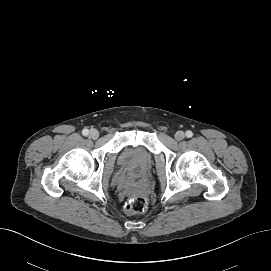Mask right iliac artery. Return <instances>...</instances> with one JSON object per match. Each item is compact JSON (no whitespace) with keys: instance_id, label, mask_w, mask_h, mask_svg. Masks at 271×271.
Wrapping results in <instances>:
<instances>
[{"instance_id":"82829eb1","label":"right iliac artery","mask_w":271,"mask_h":271,"mask_svg":"<svg viewBox=\"0 0 271 271\" xmlns=\"http://www.w3.org/2000/svg\"><path fill=\"white\" fill-rule=\"evenodd\" d=\"M82 134L84 136H87L89 134V130L88 129H83Z\"/></svg>"}]
</instances>
